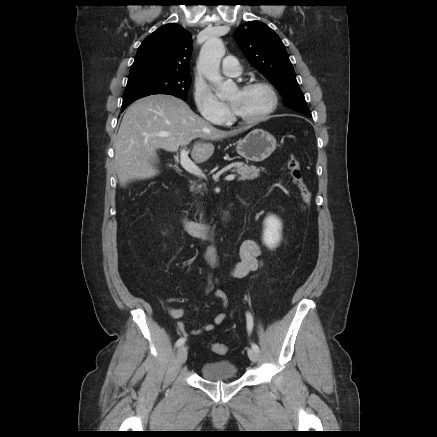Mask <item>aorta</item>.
Returning a JSON list of instances; mask_svg holds the SVG:
<instances>
[{
    "label": "aorta",
    "mask_w": 437,
    "mask_h": 437,
    "mask_svg": "<svg viewBox=\"0 0 437 437\" xmlns=\"http://www.w3.org/2000/svg\"><path fill=\"white\" fill-rule=\"evenodd\" d=\"M225 55V46L218 37L207 40L201 48L197 63L198 71L216 86V96L220 99L228 97L237 86L231 81H223L220 74V62Z\"/></svg>",
    "instance_id": "1"
}]
</instances>
